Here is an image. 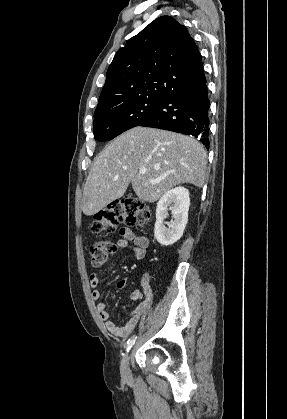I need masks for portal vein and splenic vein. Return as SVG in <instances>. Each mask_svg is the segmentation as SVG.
Returning <instances> with one entry per match:
<instances>
[{"label":"portal vein and splenic vein","mask_w":287,"mask_h":419,"mask_svg":"<svg viewBox=\"0 0 287 419\" xmlns=\"http://www.w3.org/2000/svg\"><path fill=\"white\" fill-rule=\"evenodd\" d=\"M139 172H140V174H145L146 173V170L145 169H140ZM150 181L151 182H155V180H152V179Z\"/></svg>","instance_id":"portal-vein-and-splenic-vein-1"}]
</instances>
